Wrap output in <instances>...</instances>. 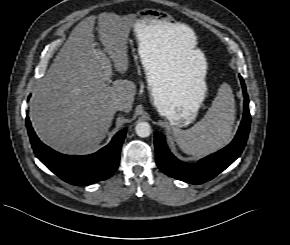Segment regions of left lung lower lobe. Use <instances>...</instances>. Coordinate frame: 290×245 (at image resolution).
I'll return each instance as SVG.
<instances>
[{"mask_svg":"<svg viewBox=\"0 0 290 245\" xmlns=\"http://www.w3.org/2000/svg\"><path fill=\"white\" fill-rule=\"evenodd\" d=\"M240 81L244 95V115L233 141L222 150L201 159L198 163L189 164L178 160L169 151L165 137L155 133L156 163L162 172L178 180L201 184L214 178L240 156L247 141L251 122L245 83L241 77Z\"/></svg>","mask_w":290,"mask_h":245,"instance_id":"0a47b994","label":"left lung lower lobe"}]
</instances>
